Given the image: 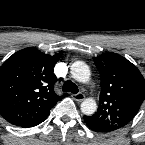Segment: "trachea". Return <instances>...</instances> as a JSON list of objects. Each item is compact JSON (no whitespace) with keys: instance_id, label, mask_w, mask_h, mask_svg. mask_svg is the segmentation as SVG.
Wrapping results in <instances>:
<instances>
[{"instance_id":"trachea-1","label":"trachea","mask_w":145,"mask_h":145,"mask_svg":"<svg viewBox=\"0 0 145 145\" xmlns=\"http://www.w3.org/2000/svg\"><path fill=\"white\" fill-rule=\"evenodd\" d=\"M62 90L64 92H71L73 94L78 93V86L72 81L68 80L63 84Z\"/></svg>"}]
</instances>
